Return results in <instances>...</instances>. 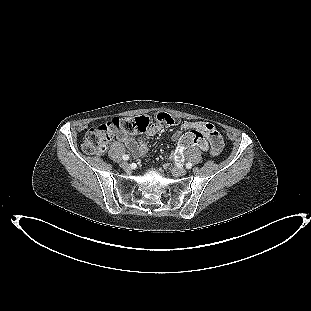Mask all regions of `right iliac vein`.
<instances>
[{
    "label": "right iliac vein",
    "instance_id": "obj_1",
    "mask_svg": "<svg viewBox=\"0 0 311 311\" xmlns=\"http://www.w3.org/2000/svg\"><path fill=\"white\" fill-rule=\"evenodd\" d=\"M120 166L124 169H127L129 167V163L127 161L121 162Z\"/></svg>",
    "mask_w": 311,
    "mask_h": 311
}]
</instances>
